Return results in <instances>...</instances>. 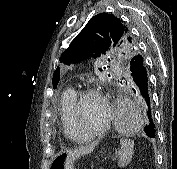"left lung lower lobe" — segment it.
Masks as SVG:
<instances>
[{
    "label": "left lung lower lobe",
    "mask_w": 177,
    "mask_h": 169,
    "mask_svg": "<svg viewBox=\"0 0 177 169\" xmlns=\"http://www.w3.org/2000/svg\"><path fill=\"white\" fill-rule=\"evenodd\" d=\"M127 68L131 76L133 86L135 87V89H133L137 91L139 101L145 110L147 124L144 127V132L148 137L155 138L156 130L152 115L148 71L143 56L140 54L134 55L129 60Z\"/></svg>",
    "instance_id": "obj_1"
}]
</instances>
